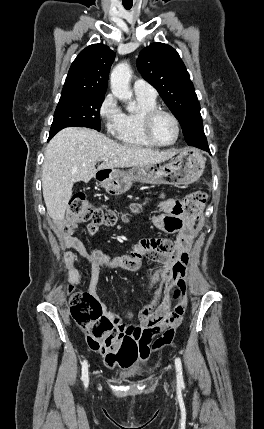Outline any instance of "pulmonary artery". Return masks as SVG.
I'll list each match as a JSON object with an SVG mask.
<instances>
[{
    "label": "pulmonary artery",
    "instance_id": "obj_1",
    "mask_svg": "<svg viewBox=\"0 0 264 429\" xmlns=\"http://www.w3.org/2000/svg\"><path fill=\"white\" fill-rule=\"evenodd\" d=\"M133 89L136 95L156 98V89L144 79H137L133 84Z\"/></svg>",
    "mask_w": 264,
    "mask_h": 429
}]
</instances>
